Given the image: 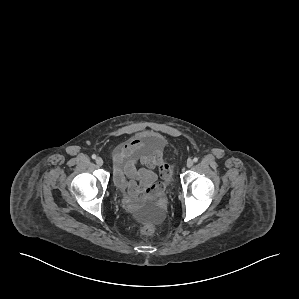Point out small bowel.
<instances>
[{
	"mask_svg": "<svg viewBox=\"0 0 299 299\" xmlns=\"http://www.w3.org/2000/svg\"><path fill=\"white\" fill-rule=\"evenodd\" d=\"M141 142L137 138L129 139L117 146L113 154V180L125 194L130 208L161 195L171 176L163 154L158 149L141 150ZM154 169L158 170L161 180H158Z\"/></svg>",
	"mask_w": 299,
	"mask_h": 299,
	"instance_id": "1",
	"label": "small bowel"
}]
</instances>
